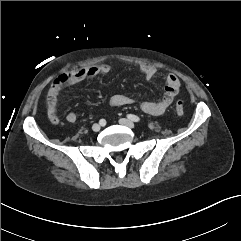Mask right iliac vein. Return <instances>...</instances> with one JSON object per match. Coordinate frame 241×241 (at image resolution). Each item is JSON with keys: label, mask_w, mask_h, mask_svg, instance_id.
I'll return each instance as SVG.
<instances>
[{"label": "right iliac vein", "mask_w": 241, "mask_h": 241, "mask_svg": "<svg viewBox=\"0 0 241 241\" xmlns=\"http://www.w3.org/2000/svg\"><path fill=\"white\" fill-rule=\"evenodd\" d=\"M100 125L99 124H94L93 126H92V130L94 131V132H98V131H100Z\"/></svg>", "instance_id": "obj_1"}]
</instances>
